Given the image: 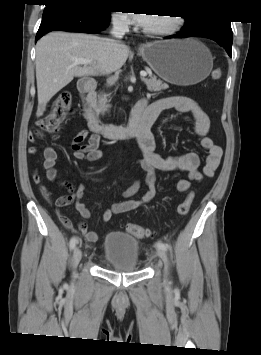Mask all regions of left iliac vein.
<instances>
[{
  "instance_id": "1",
  "label": "left iliac vein",
  "mask_w": 261,
  "mask_h": 355,
  "mask_svg": "<svg viewBox=\"0 0 261 355\" xmlns=\"http://www.w3.org/2000/svg\"><path fill=\"white\" fill-rule=\"evenodd\" d=\"M157 254H158L159 258L161 259V261L164 264V267H165L164 280L167 281V275H168V271H167L168 257H167V254L162 249H159L157 251Z\"/></svg>"
}]
</instances>
